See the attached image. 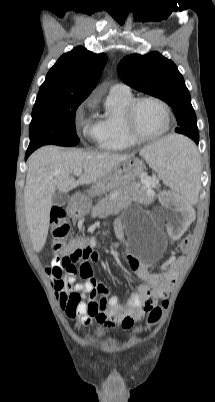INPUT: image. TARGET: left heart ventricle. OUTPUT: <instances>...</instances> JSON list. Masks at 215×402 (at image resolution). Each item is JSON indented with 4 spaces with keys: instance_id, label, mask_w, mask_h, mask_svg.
Listing matches in <instances>:
<instances>
[{
    "instance_id": "obj_1",
    "label": "left heart ventricle",
    "mask_w": 215,
    "mask_h": 402,
    "mask_svg": "<svg viewBox=\"0 0 215 402\" xmlns=\"http://www.w3.org/2000/svg\"><path fill=\"white\" fill-rule=\"evenodd\" d=\"M166 115L157 103L145 101L136 112V126L144 135H155L166 127Z\"/></svg>"
}]
</instances>
